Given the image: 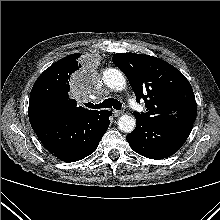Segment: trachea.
I'll return each instance as SVG.
<instances>
[{
  "label": "trachea",
  "instance_id": "1",
  "mask_svg": "<svg viewBox=\"0 0 220 220\" xmlns=\"http://www.w3.org/2000/svg\"><path fill=\"white\" fill-rule=\"evenodd\" d=\"M88 108L92 109H101V108H114L116 110H120L122 107V104L117 99L109 98L103 101V103L100 104H92V103H86L85 104Z\"/></svg>",
  "mask_w": 220,
  "mask_h": 220
}]
</instances>
